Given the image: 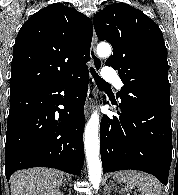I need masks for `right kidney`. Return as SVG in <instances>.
I'll list each match as a JSON object with an SVG mask.
<instances>
[{
	"mask_svg": "<svg viewBox=\"0 0 178 195\" xmlns=\"http://www.w3.org/2000/svg\"><path fill=\"white\" fill-rule=\"evenodd\" d=\"M41 195H63L59 190L56 189H50L44 191Z\"/></svg>",
	"mask_w": 178,
	"mask_h": 195,
	"instance_id": "right-kidney-1",
	"label": "right kidney"
}]
</instances>
